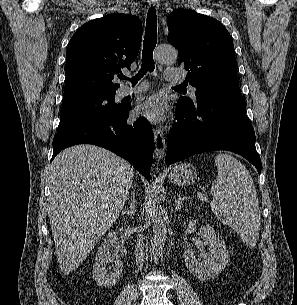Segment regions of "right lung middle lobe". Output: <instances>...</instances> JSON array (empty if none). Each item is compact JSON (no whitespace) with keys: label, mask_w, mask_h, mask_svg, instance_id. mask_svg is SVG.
Here are the masks:
<instances>
[{"label":"right lung middle lobe","mask_w":297,"mask_h":305,"mask_svg":"<svg viewBox=\"0 0 297 305\" xmlns=\"http://www.w3.org/2000/svg\"><path fill=\"white\" fill-rule=\"evenodd\" d=\"M115 94L100 92L63 101L57 132L91 116L117 113L124 105L115 103Z\"/></svg>","instance_id":"dd1d6c3e"}]
</instances>
